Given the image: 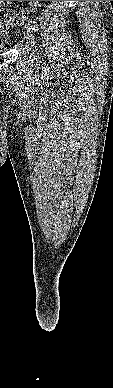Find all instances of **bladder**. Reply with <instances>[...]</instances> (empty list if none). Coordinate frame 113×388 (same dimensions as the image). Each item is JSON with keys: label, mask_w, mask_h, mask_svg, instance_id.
Listing matches in <instances>:
<instances>
[{"label": "bladder", "mask_w": 113, "mask_h": 388, "mask_svg": "<svg viewBox=\"0 0 113 388\" xmlns=\"http://www.w3.org/2000/svg\"><path fill=\"white\" fill-rule=\"evenodd\" d=\"M2 36H3L2 33H0V37ZM5 48L6 46L2 42H0V53L4 52Z\"/></svg>", "instance_id": "1"}]
</instances>
